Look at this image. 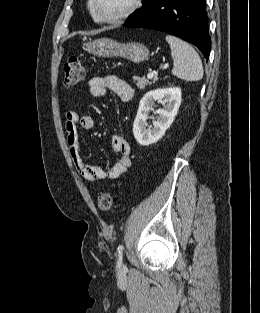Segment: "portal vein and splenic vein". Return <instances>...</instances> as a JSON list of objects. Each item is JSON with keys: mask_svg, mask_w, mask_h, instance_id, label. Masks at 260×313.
<instances>
[{"mask_svg": "<svg viewBox=\"0 0 260 313\" xmlns=\"http://www.w3.org/2000/svg\"><path fill=\"white\" fill-rule=\"evenodd\" d=\"M155 75H157V72H150V73H148V75H147V78L148 79H152Z\"/></svg>", "mask_w": 260, "mask_h": 313, "instance_id": "1", "label": "portal vein and splenic vein"}]
</instances>
